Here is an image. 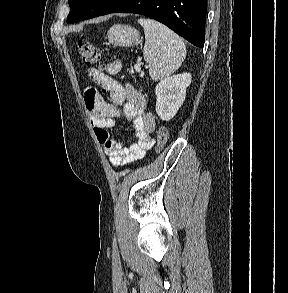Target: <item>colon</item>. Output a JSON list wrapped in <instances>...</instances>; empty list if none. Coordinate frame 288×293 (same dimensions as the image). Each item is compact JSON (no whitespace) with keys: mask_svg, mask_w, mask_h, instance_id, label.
Here are the masks:
<instances>
[{"mask_svg":"<svg viewBox=\"0 0 288 293\" xmlns=\"http://www.w3.org/2000/svg\"><path fill=\"white\" fill-rule=\"evenodd\" d=\"M78 54L84 64H96L101 59V52L93 43L79 40L77 43ZM169 139V131L165 126H160L157 131V152H160Z\"/></svg>","mask_w":288,"mask_h":293,"instance_id":"5ec220e1","label":"colon"}]
</instances>
